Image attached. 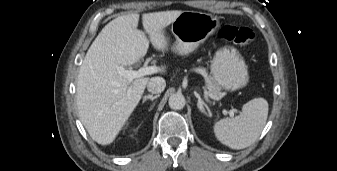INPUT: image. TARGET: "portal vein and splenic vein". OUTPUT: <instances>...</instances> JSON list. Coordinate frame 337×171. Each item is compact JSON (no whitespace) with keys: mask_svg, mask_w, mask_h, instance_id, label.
Segmentation results:
<instances>
[{"mask_svg":"<svg viewBox=\"0 0 337 171\" xmlns=\"http://www.w3.org/2000/svg\"><path fill=\"white\" fill-rule=\"evenodd\" d=\"M117 71L121 76L125 77L128 80V82H132L136 78L158 73L159 71H161V69L157 66L144 65L139 70H126L123 66H119L117 67ZM208 95L213 99H218L217 96L211 93ZM234 111H235L234 109L230 110L229 112L230 117L234 116Z\"/></svg>","mask_w":337,"mask_h":171,"instance_id":"1","label":"portal vein and splenic vein"}]
</instances>
